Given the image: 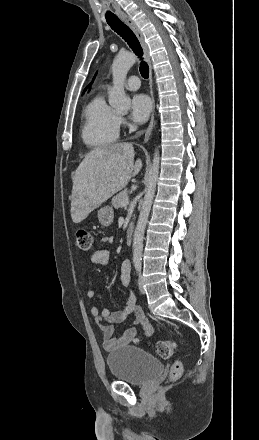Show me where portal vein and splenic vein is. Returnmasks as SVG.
I'll return each mask as SVG.
<instances>
[{"mask_svg":"<svg viewBox=\"0 0 259 440\" xmlns=\"http://www.w3.org/2000/svg\"><path fill=\"white\" fill-rule=\"evenodd\" d=\"M128 204H129V200H128V199H125V200H123V201L121 202L122 207H125V206H127Z\"/></svg>","mask_w":259,"mask_h":440,"instance_id":"1","label":"portal vein and splenic vein"}]
</instances>
